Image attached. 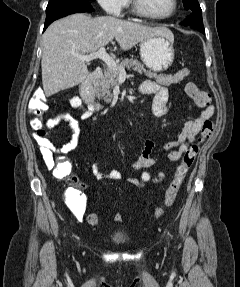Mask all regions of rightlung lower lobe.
<instances>
[{"label": "right lung lower lobe", "mask_w": 240, "mask_h": 287, "mask_svg": "<svg viewBox=\"0 0 240 287\" xmlns=\"http://www.w3.org/2000/svg\"><path fill=\"white\" fill-rule=\"evenodd\" d=\"M93 8L89 2L66 4L57 6L46 11L44 30L55 20L74 13L92 12Z\"/></svg>", "instance_id": "right-lung-lower-lobe-1"}]
</instances>
